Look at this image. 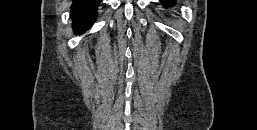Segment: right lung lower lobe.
Masks as SVG:
<instances>
[{"mask_svg": "<svg viewBox=\"0 0 257 130\" xmlns=\"http://www.w3.org/2000/svg\"><path fill=\"white\" fill-rule=\"evenodd\" d=\"M99 3L100 0H73L71 15L76 33L81 34L94 23Z\"/></svg>", "mask_w": 257, "mask_h": 130, "instance_id": "obj_1", "label": "right lung lower lobe"}]
</instances>
